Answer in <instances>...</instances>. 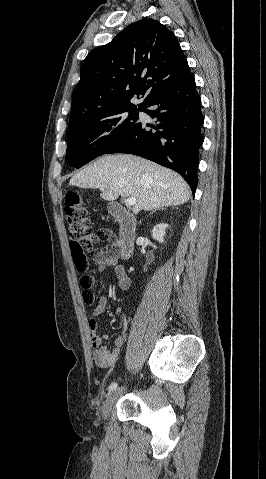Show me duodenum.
<instances>
[{
    "label": "duodenum",
    "instance_id": "410a0bca",
    "mask_svg": "<svg viewBox=\"0 0 266 479\" xmlns=\"http://www.w3.org/2000/svg\"><path fill=\"white\" fill-rule=\"evenodd\" d=\"M111 215L117 219L121 225V234L118 243L112 249V254L118 259L127 260L134 251V241L136 237V218L124 207L117 203H112L109 207Z\"/></svg>",
    "mask_w": 266,
    "mask_h": 479
}]
</instances>
